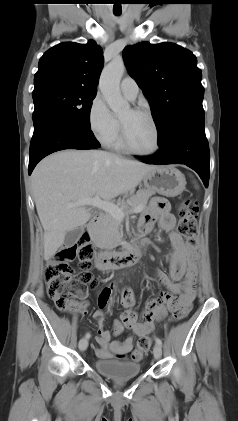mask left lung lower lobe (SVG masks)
<instances>
[{"instance_id": "obj_1", "label": "left lung lower lobe", "mask_w": 238, "mask_h": 421, "mask_svg": "<svg viewBox=\"0 0 238 421\" xmlns=\"http://www.w3.org/2000/svg\"><path fill=\"white\" fill-rule=\"evenodd\" d=\"M159 147L152 156L136 158L147 164H185L195 170L208 187L210 155L204 116L190 117L179 123L159 142Z\"/></svg>"}]
</instances>
